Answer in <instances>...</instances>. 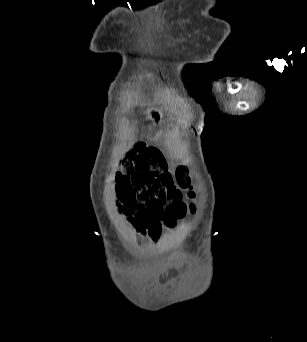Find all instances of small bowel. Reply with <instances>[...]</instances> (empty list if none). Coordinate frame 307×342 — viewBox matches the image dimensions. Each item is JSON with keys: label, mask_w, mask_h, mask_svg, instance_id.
<instances>
[{"label": "small bowel", "mask_w": 307, "mask_h": 342, "mask_svg": "<svg viewBox=\"0 0 307 342\" xmlns=\"http://www.w3.org/2000/svg\"><path fill=\"white\" fill-rule=\"evenodd\" d=\"M131 214L126 223L140 242H157L161 237V225L147 211L145 204L128 209Z\"/></svg>", "instance_id": "obj_1"}]
</instances>
